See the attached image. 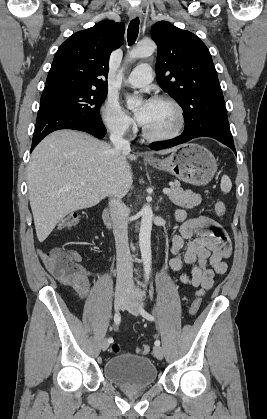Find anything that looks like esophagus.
I'll list each match as a JSON object with an SVG mask.
<instances>
[{"label": "esophagus", "instance_id": "esophagus-1", "mask_svg": "<svg viewBox=\"0 0 267 419\" xmlns=\"http://www.w3.org/2000/svg\"><path fill=\"white\" fill-rule=\"evenodd\" d=\"M141 15V10L139 9V8H137V7H135V8H131L130 10H129V16L131 17V18H136V17H138V16H140ZM147 157H149V156H147Z\"/></svg>", "mask_w": 267, "mask_h": 419}]
</instances>
